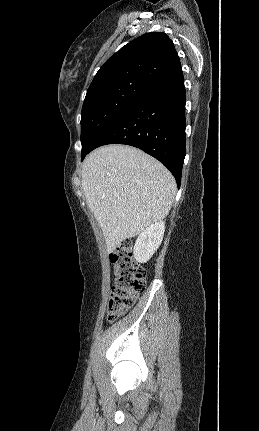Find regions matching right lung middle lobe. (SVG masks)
Here are the masks:
<instances>
[{"instance_id":"dd1d6c3e","label":"right lung middle lobe","mask_w":259,"mask_h":431,"mask_svg":"<svg viewBox=\"0 0 259 431\" xmlns=\"http://www.w3.org/2000/svg\"><path fill=\"white\" fill-rule=\"evenodd\" d=\"M149 89L140 82H130L85 97L81 112V157L100 134Z\"/></svg>"}]
</instances>
